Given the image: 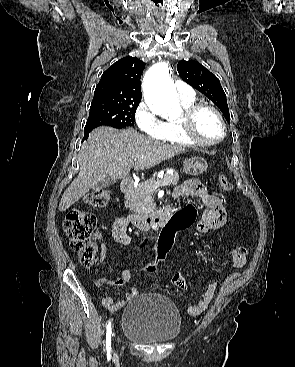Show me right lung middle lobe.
Segmentation results:
<instances>
[{
    "label": "right lung middle lobe",
    "mask_w": 295,
    "mask_h": 367,
    "mask_svg": "<svg viewBox=\"0 0 295 367\" xmlns=\"http://www.w3.org/2000/svg\"><path fill=\"white\" fill-rule=\"evenodd\" d=\"M139 102L140 100L106 95L94 96L90 106V114L84 128V138L94 128L102 125L119 129L133 126Z\"/></svg>",
    "instance_id": "right-lung-middle-lobe-1"
}]
</instances>
